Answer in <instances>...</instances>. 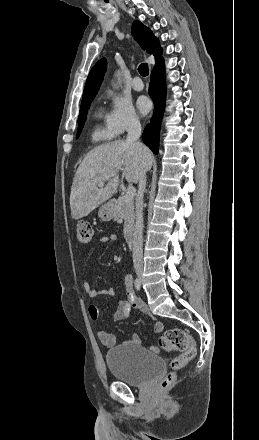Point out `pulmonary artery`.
<instances>
[{
  "label": "pulmonary artery",
  "mask_w": 259,
  "mask_h": 440,
  "mask_svg": "<svg viewBox=\"0 0 259 440\" xmlns=\"http://www.w3.org/2000/svg\"><path fill=\"white\" fill-rule=\"evenodd\" d=\"M132 87L136 91H141L144 88V84L139 76L134 77Z\"/></svg>",
  "instance_id": "1"
}]
</instances>
